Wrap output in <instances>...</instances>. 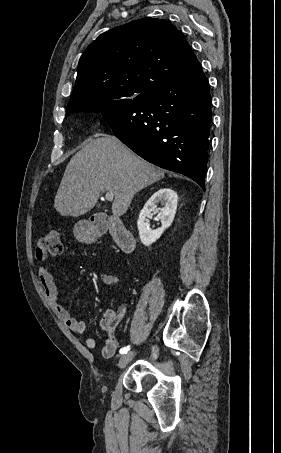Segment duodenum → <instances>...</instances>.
<instances>
[{
	"label": "duodenum",
	"instance_id": "duodenum-1",
	"mask_svg": "<svg viewBox=\"0 0 281 453\" xmlns=\"http://www.w3.org/2000/svg\"><path fill=\"white\" fill-rule=\"evenodd\" d=\"M89 231L92 238L110 233L116 244L126 253L132 252L135 247L132 234L118 219L97 217L92 221Z\"/></svg>",
	"mask_w": 281,
	"mask_h": 453
}]
</instances>
